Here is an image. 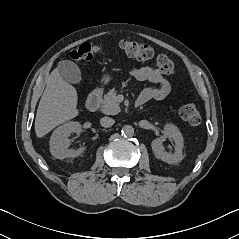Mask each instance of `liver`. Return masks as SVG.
Wrapping results in <instances>:
<instances>
[{
    "label": "liver",
    "mask_w": 239,
    "mask_h": 239,
    "mask_svg": "<svg viewBox=\"0 0 239 239\" xmlns=\"http://www.w3.org/2000/svg\"><path fill=\"white\" fill-rule=\"evenodd\" d=\"M77 91L54 69L40 99L35 117L36 136L41 138L56 126L78 115Z\"/></svg>",
    "instance_id": "obj_1"
}]
</instances>
